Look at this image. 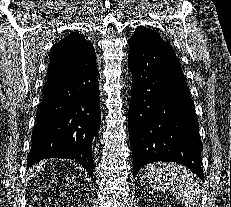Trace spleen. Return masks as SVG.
Instances as JSON below:
<instances>
[{
    "mask_svg": "<svg viewBox=\"0 0 231 207\" xmlns=\"http://www.w3.org/2000/svg\"><path fill=\"white\" fill-rule=\"evenodd\" d=\"M143 178L154 189L169 192L185 207H193L200 198V189L192 175L173 163L148 164L143 168Z\"/></svg>",
    "mask_w": 231,
    "mask_h": 207,
    "instance_id": "1",
    "label": "spleen"
}]
</instances>
